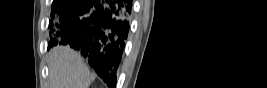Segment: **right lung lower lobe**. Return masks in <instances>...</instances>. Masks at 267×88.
Masks as SVG:
<instances>
[{
	"mask_svg": "<svg viewBox=\"0 0 267 88\" xmlns=\"http://www.w3.org/2000/svg\"><path fill=\"white\" fill-rule=\"evenodd\" d=\"M131 0H71L60 11L59 23L50 21L52 45H69L114 88L130 28Z\"/></svg>",
	"mask_w": 267,
	"mask_h": 88,
	"instance_id": "right-lung-lower-lobe-1",
	"label": "right lung lower lobe"
}]
</instances>
